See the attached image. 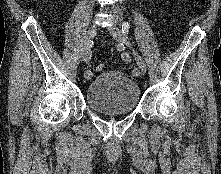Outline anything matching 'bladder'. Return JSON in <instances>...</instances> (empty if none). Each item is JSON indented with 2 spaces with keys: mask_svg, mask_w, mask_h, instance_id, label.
<instances>
[{
  "mask_svg": "<svg viewBox=\"0 0 221 174\" xmlns=\"http://www.w3.org/2000/svg\"><path fill=\"white\" fill-rule=\"evenodd\" d=\"M86 102L94 112L106 115L133 112L140 101L137 83L119 70L103 71L86 88Z\"/></svg>",
  "mask_w": 221,
  "mask_h": 174,
  "instance_id": "31cf9c89",
  "label": "bladder"
}]
</instances>
